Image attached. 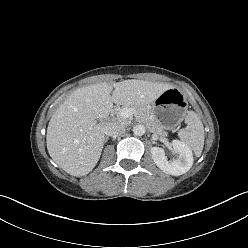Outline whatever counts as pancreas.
Segmentation results:
<instances>
[{
    "instance_id": "cf45deb5",
    "label": "pancreas",
    "mask_w": 248,
    "mask_h": 248,
    "mask_svg": "<svg viewBox=\"0 0 248 248\" xmlns=\"http://www.w3.org/2000/svg\"><path fill=\"white\" fill-rule=\"evenodd\" d=\"M124 108H133L135 112L140 117L141 121L145 122L151 128V131L161 137L167 136V132L163 130L152 118L150 110L146 106H134V105H125L122 108H118L116 111L117 117L121 122L126 123V120L121 117L120 113Z\"/></svg>"
}]
</instances>
